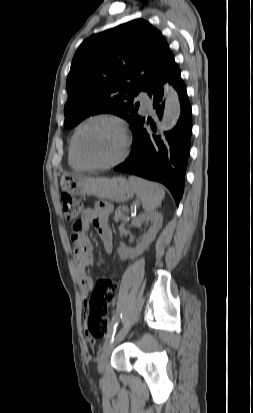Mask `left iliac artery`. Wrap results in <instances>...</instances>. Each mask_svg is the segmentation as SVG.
<instances>
[{
  "label": "left iliac artery",
  "instance_id": "1",
  "mask_svg": "<svg viewBox=\"0 0 253 413\" xmlns=\"http://www.w3.org/2000/svg\"><path fill=\"white\" fill-rule=\"evenodd\" d=\"M119 320H120L119 316H114L112 318L111 327L106 336L104 346L109 345L113 342Z\"/></svg>",
  "mask_w": 253,
  "mask_h": 413
}]
</instances>
